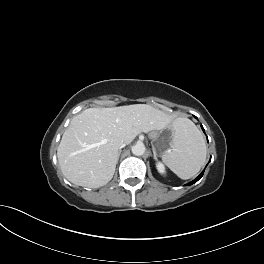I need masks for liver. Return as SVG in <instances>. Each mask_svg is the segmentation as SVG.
<instances>
[{"instance_id": "obj_1", "label": "liver", "mask_w": 264, "mask_h": 264, "mask_svg": "<svg viewBox=\"0 0 264 264\" xmlns=\"http://www.w3.org/2000/svg\"><path fill=\"white\" fill-rule=\"evenodd\" d=\"M172 121L146 104L86 109L71 120L62 136L57 149L61 171L76 185L103 186L114 175L120 141L129 144L141 132L162 130Z\"/></svg>"}]
</instances>
